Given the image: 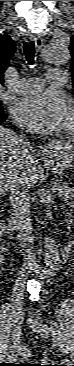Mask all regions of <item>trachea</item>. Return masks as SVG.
Masks as SVG:
<instances>
[{"mask_svg": "<svg viewBox=\"0 0 74 366\" xmlns=\"http://www.w3.org/2000/svg\"><path fill=\"white\" fill-rule=\"evenodd\" d=\"M24 55L29 65L34 64L35 44L33 41L25 42L23 45Z\"/></svg>", "mask_w": 74, "mask_h": 366, "instance_id": "3493384b", "label": "trachea"}]
</instances>
